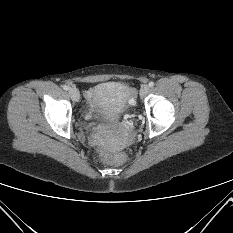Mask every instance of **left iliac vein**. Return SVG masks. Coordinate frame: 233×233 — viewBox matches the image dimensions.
Wrapping results in <instances>:
<instances>
[{"mask_svg":"<svg viewBox=\"0 0 233 233\" xmlns=\"http://www.w3.org/2000/svg\"><path fill=\"white\" fill-rule=\"evenodd\" d=\"M149 92V86L143 85L140 89V96L144 97Z\"/></svg>","mask_w":233,"mask_h":233,"instance_id":"obj_1","label":"left iliac vein"}]
</instances>
